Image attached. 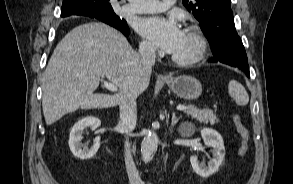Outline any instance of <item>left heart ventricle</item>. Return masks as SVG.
<instances>
[{"mask_svg": "<svg viewBox=\"0 0 293 184\" xmlns=\"http://www.w3.org/2000/svg\"><path fill=\"white\" fill-rule=\"evenodd\" d=\"M197 50V41L193 34L183 32V37L180 45L173 53L174 56L179 58H188L192 56Z\"/></svg>", "mask_w": 293, "mask_h": 184, "instance_id": "b2bd125f", "label": "left heart ventricle"}]
</instances>
